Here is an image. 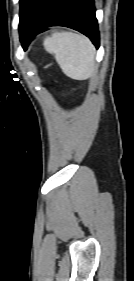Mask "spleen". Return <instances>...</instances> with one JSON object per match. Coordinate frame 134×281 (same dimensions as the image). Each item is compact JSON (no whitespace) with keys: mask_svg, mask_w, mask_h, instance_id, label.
Listing matches in <instances>:
<instances>
[{"mask_svg":"<svg viewBox=\"0 0 134 281\" xmlns=\"http://www.w3.org/2000/svg\"><path fill=\"white\" fill-rule=\"evenodd\" d=\"M45 50L53 54L63 73L75 80H86L94 72L95 48L84 35L56 32L44 40Z\"/></svg>","mask_w":134,"mask_h":281,"instance_id":"1","label":"spleen"}]
</instances>
